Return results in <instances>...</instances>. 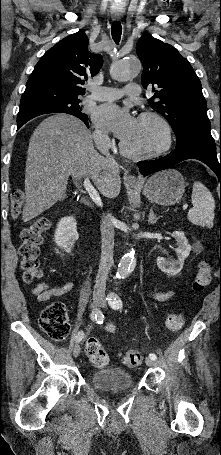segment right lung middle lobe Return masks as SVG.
Masks as SVG:
<instances>
[{
	"label": "right lung middle lobe",
	"mask_w": 221,
	"mask_h": 455,
	"mask_svg": "<svg viewBox=\"0 0 221 455\" xmlns=\"http://www.w3.org/2000/svg\"><path fill=\"white\" fill-rule=\"evenodd\" d=\"M80 100L78 98L63 99L47 104L34 105L25 108H20L17 123L24 119L36 117L47 113H67L81 119L88 127V117L82 113V108L79 107Z\"/></svg>",
	"instance_id": "dd1d6c3e"
}]
</instances>
